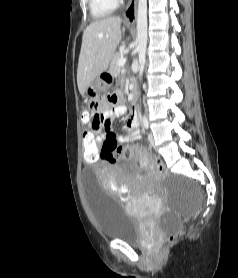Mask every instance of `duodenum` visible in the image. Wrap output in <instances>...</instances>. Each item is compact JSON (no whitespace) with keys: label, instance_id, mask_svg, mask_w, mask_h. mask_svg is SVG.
<instances>
[{"label":"duodenum","instance_id":"obj_1","mask_svg":"<svg viewBox=\"0 0 238 278\" xmlns=\"http://www.w3.org/2000/svg\"><path fill=\"white\" fill-rule=\"evenodd\" d=\"M132 107H133V110H134L135 112H137V109H138V105H137V94H136L135 91L133 92V96H132Z\"/></svg>","mask_w":238,"mask_h":278}]
</instances>
